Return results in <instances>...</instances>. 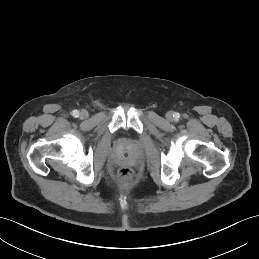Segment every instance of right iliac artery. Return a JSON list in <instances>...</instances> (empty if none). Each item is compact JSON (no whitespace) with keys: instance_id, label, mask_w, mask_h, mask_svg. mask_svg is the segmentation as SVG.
I'll return each mask as SVG.
<instances>
[{"instance_id":"82829eb1","label":"right iliac artery","mask_w":259,"mask_h":259,"mask_svg":"<svg viewBox=\"0 0 259 259\" xmlns=\"http://www.w3.org/2000/svg\"><path fill=\"white\" fill-rule=\"evenodd\" d=\"M72 115H73V117H78L79 116V111L78 110L72 111Z\"/></svg>"}]
</instances>
